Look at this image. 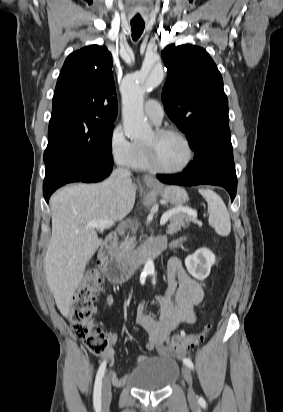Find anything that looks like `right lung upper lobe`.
I'll return each instance as SVG.
<instances>
[{
    "mask_svg": "<svg viewBox=\"0 0 283 412\" xmlns=\"http://www.w3.org/2000/svg\"><path fill=\"white\" fill-rule=\"evenodd\" d=\"M112 65L104 46L71 53L57 80L51 117L77 112L94 115L103 125H114L118 105Z\"/></svg>",
    "mask_w": 283,
    "mask_h": 412,
    "instance_id": "right-lung-upper-lobe-1",
    "label": "right lung upper lobe"
}]
</instances>
